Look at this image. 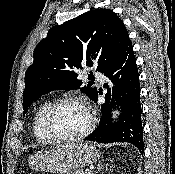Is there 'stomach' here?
<instances>
[{"mask_svg": "<svg viewBox=\"0 0 175 174\" xmlns=\"http://www.w3.org/2000/svg\"><path fill=\"white\" fill-rule=\"evenodd\" d=\"M100 158L98 150L89 143L67 144L52 147L31 155L30 165L36 170L68 174L93 164Z\"/></svg>", "mask_w": 175, "mask_h": 174, "instance_id": "obj_1", "label": "stomach"}]
</instances>
